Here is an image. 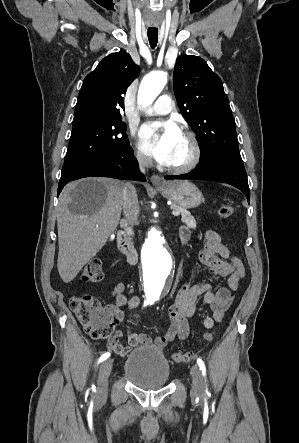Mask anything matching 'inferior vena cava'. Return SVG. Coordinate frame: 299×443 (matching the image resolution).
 Here are the masks:
<instances>
[{
	"mask_svg": "<svg viewBox=\"0 0 299 443\" xmlns=\"http://www.w3.org/2000/svg\"><path fill=\"white\" fill-rule=\"evenodd\" d=\"M140 170L145 172V169L152 165V159L143 154L137 155ZM123 212L129 224L137 223L139 216V202L135 187L131 183H126L122 188Z\"/></svg>",
	"mask_w": 299,
	"mask_h": 443,
	"instance_id": "602c4592",
	"label": "inferior vena cava"
}]
</instances>
